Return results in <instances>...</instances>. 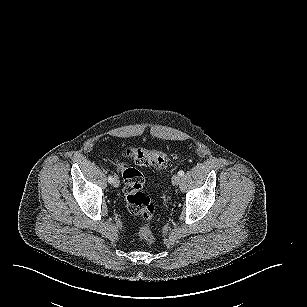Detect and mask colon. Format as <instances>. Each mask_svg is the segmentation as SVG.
<instances>
[{
  "label": "colon",
  "instance_id": "5ec220e1",
  "mask_svg": "<svg viewBox=\"0 0 307 307\" xmlns=\"http://www.w3.org/2000/svg\"><path fill=\"white\" fill-rule=\"evenodd\" d=\"M125 154L132 158L137 165L147 167H165L169 163L168 155L163 151L148 150L131 146L125 149ZM118 168L124 180V193L128 210L138 215L142 223L138 230L139 238L147 244L155 240L151 228V221L155 214V206L150 197L142 191L144 178L135 168L124 163H118Z\"/></svg>",
  "mask_w": 307,
  "mask_h": 307
}]
</instances>
